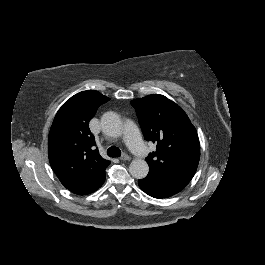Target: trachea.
Segmentation results:
<instances>
[{
  "instance_id": "trachea-1",
  "label": "trachea",
  "mask_w": 265,
  "mask_h": 265,
  "mask_svg": "<svg viewBox=\"0 0 265 265\" xmlns=\"http://www.w3.org/2000/svg\"><path fill=\"white\" fill-rule=\"evenodd\" d=\"M107 155L112 157V158L120 157L121 151L119 148L112 146V147L107 149Z\"/></svg>"
}]
</instances>
